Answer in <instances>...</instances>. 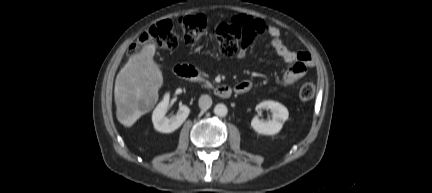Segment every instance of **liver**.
<instances>
[{
	"mask_svg": "<svg viewBox=\"0 0 432 193\" xmlns=\"http://www.w3.org/2000/svg\"><path fill=\"white\" fill-rule=\"evenodd\" d=\"M155 51L154 44L144 46L140 53L129 58L116 77V116L126 127H131L142 115L149 112L158 100L163 76L153 59Z\"/></svg>",
	"mask_w": 432,
	"mask_h": 193,
	"instance_id": "obj_1",
	"label": "liver"
}]
</instances>
